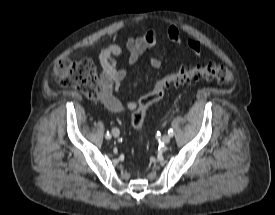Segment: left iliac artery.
Returning <instances> with one entry per match:
<instances>
[{
	"instance_id": "obj_1",
	"label": "left iliac artery",
	"mask_w": 275,
	"mask_h": 215,
	"mask_svg": "<svg viewBox=\"0 0 275 215\" xmlns=\"http://www.w3.org/2000/svg\"><path fill=\"white\" fill-rule=\"evenodd\" d=\"M168 135L170 136V137H172L173 135H174V131H173V129H169L168 130Z\"/></svg>"
}]
</instances>
